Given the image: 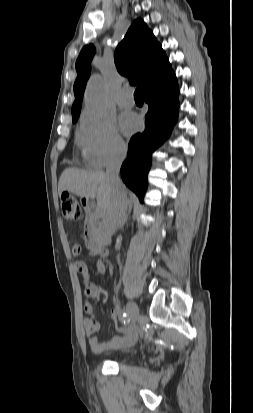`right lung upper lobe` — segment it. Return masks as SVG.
<instances>
[{"instance_id":"1","label":"right lung upper lobe","mask_w":253,"mask_h":413,"mask_svg":"<svg viewBox=\"0 0 253 413\" xmlns=\"http://www.w3.org/2000/svg\"><path fill=\"white\" fill-rule=\"evenodd\" d=\"M95 53L92 44L85 46L76 61L77 78L74 83L75 101L72 106L73 120L80 115L86 82L91 72V60ZM114 61L118 72L130 78V84L142 86L144 92L156 83L177 81L175 73L151 30L140 18L135 20L124 39L118 45Z\"/></svg>"}]
</instances>
